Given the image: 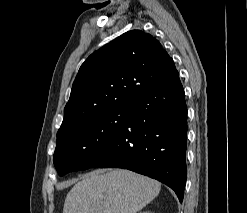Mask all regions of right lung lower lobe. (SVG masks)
<instances>
[{"label":"right lung lower lobe","instance_id":"98d812e1","mask_svg":"<svg viewBox=\"0 0 247 213\" xmlns=\"http://www.w3.org/2000/svg\"><path fill=\"white\" fill-rule=\"evenodd\" d=\"M132 112L95 165L125 168L172 188L186 183L187 106L179 73L129 99Z\"/></svg>","mask_w":247,"mask_h":213}]
</instances>
